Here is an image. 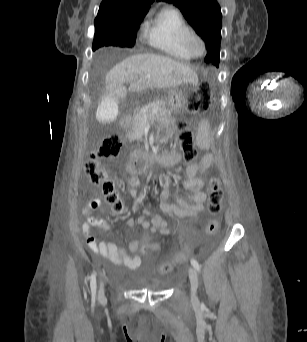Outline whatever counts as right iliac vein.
Returning <instances> with one entry per match:
<instances>
[{"mask_svg": "<svg viewBox=\"0 0 307 342\" xmlns=\"http://www.w3.org/2000/svg\"><path fill=\"white\" fill-rule=\"evenodd\" d=\"M104 297V286H103V283L100 282V286H99V298L100 299H103Z\"/></svg>", "mask_w": 307, "mask_h": 342, "instance_id": "63e3f726", "label": "right iliac vein"}]
</instances>
